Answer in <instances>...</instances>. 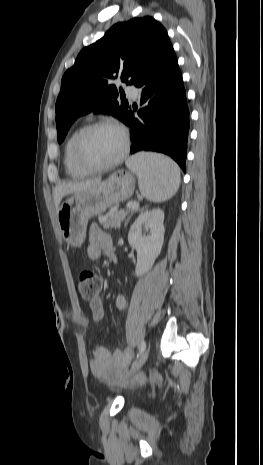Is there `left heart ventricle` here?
<instances>
[{
    "label": "left heart ventricle",
    "instance_id": "left-heart-ventricle-1",
    "mask_svg": "<svg viewBox=\"0 0 263 465\" xmlns=\"http://www.w3.org/2000/svg\"><path fill=\"white\" fill-rule=\"evenodd\" d=\"M122 148L120 133L103 127L87 134L83 144V156L91 164L102 165L115 159Z\"/></svg>",
    "mask_w": 263,
    "mask_h": 465
}]
</instances>
